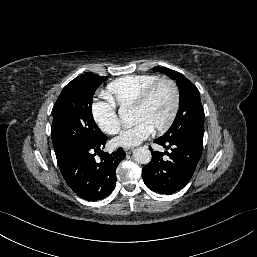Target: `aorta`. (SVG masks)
<instances>
[{"mask_svg": "<svg viewBox=\"0 0 257 257\" xmlns=\"http://www.w3.org/2000/svg\"><path fill=\"white\" fill-rule=\"evenodd\" d=\"M119 116H120V119L124 123H126V112H125V110L121 109L119 111ZM133 157L140 164H148L151 161L152 155H151V152L148 148L138 147L137 149L134 150Z\"/></svg>", "mask_w": 257, "mask_h": 257, "instance_id": "obj_1", "label": "aorta"}]
</instances>
